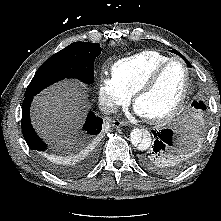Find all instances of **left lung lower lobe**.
Wrapping results in <instances>:
<instances>
[{
    "label": "left lung lower lobe",
    "mask_w": 221,
    "mask_h": 221,
    "mask_svg": "<svg viewBox=\"0 0 221 221\" xmlns=\"http://www.w3.org/2000/svg\"><path fill=\"white\" fill-rule=\"evenodd\" d=\"M155 141L152 148L141 158L142 165L157 174L169 175L177 173L182 169L181 157L175 154L173 142V131L163 129L161 131L152 130Z\"/></svg>",
    "instance_id": "0a47b994"
}]
</instances>
